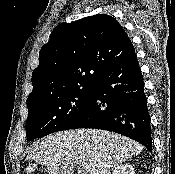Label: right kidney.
I'll return each mask as SVG.
<instances>
[{
	"mask_svg": "<svg viewBox=\"0 0 175 174\" xmlns=\"http://www.w3.org/2000/svg\"><path fill=\"white\" fill-rule=\"evenodd\" d=\"M112 174H135L134 167L129 163L117 165Z\"/></svg>",
	"mask_w": 175,
	"mask_h": 174,
	"instance_id": "ca27d5eb",
	"label": "right kidney"
}]
</instances>
